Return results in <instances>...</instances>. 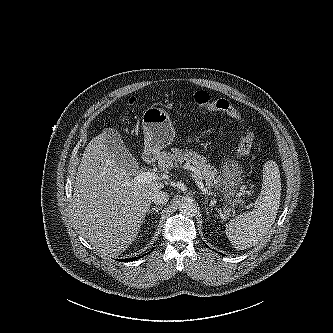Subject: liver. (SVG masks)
Listing matches in <instances>:
<instances>
[{"label":"liver","instance_id":"obj_1","mask_svg":"<svg viewBox=\"0 0 333 333\" xmlns=\"http://www.w3.org/2000/svg\"><path fill=\"white\" fill-rule=\"evenodd\" d=\"M108 136L101 133L85 148L71 204L79 233L100 254L116 257L137 237L153 193L164 184L134 182L109 155Z\"/></svg>","mask_w":333,"mask_h":333}]
</instances>
